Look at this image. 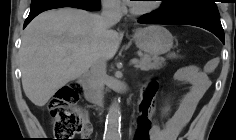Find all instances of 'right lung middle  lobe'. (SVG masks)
Here are the masks:
<instances>
[{
    "label": "right lung middle lobe",
    "instance_id": "1",
    "mask_svg": "<svg viewBox=\"0 0 236 140\" xmlns=\"http://www.w3.org/2000/svg\"><path fill=\"white\" fill-rule=\"evenodd\" d=\"M61 1H75L83 3L87 6L97 8L100 6L99 0H32L31 2V8L38 7L45 4L55 3V2H61Z\"/></svg>",
    "mask_w": 236,
    "mask_h": 140
}]
</instances>
